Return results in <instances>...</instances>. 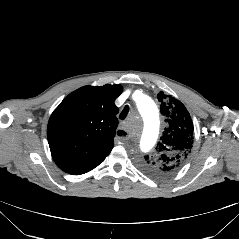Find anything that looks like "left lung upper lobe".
Returning <instances> with one entry per match:
<instances>
[{
  "instance_id": "5c2ea615",
  "label": "left lung upper lobe",
  "mask_w": 239,
  "mask_h": 239,
  "mask_svg": "<svg viewBox=\"0 0 239 239\" xmlns=\"http://www.w3.org/2000/svg\"><path fill=\"white\" fill-rule=\"evenodd\" d=\"M165 118V131L151 156H145L141 167L156 177H167L177 172L192 150L194 126L185 106L171 95H157Z\"/></svg>"
}]
</instances>
